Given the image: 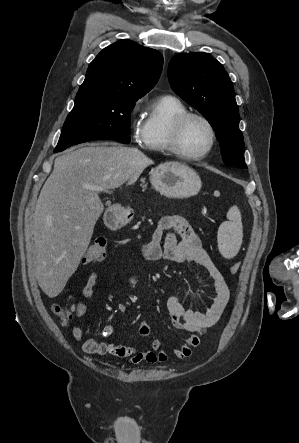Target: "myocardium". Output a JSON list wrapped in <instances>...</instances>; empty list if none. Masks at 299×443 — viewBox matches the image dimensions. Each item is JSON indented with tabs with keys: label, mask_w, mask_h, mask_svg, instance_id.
Instances as JSON below:
<instances>
[{
	"label": "myocardium",
	"mask_w": 299,
	"mask_h": 443,
	"mask_svg": "<svg viewBox=\"0 0 299 443\" xmlns=\"http://www.w3.org/2000/svg\"><path fill=\"white\" fill-rule=\"evenodd\" d=\"M190 118H198L201 121H203L206 124V126L208 127L209 132H210V143H209L207 149L204 152H202L200 154H196V155H191V154L186 153L185 151H183V149L181 148V145H180V137L182 134V130L184 128L185 123ZM215 144H216L215 128H214L213 124L211 123V121L203 114L198 113V112L185 111V112L177 115L174 118V120L171 124V128H170L169 147H170L171 152L176 154L178 157L186 159V160H201L211 153Z\"/></svg>",
	"instance_id": "myocardium-1"
}]
</instances>
